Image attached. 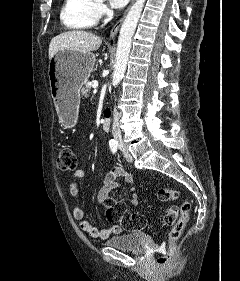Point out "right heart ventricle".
<instances>
[{
  "instance_id": "obj_1",
  "label": "right heart ventricle",
  "mask_w": 240,
  "mask_h": 281,
  "mask_svg": "<svg viewBox=\"0 0 240 281\" xmlns=\"http://www.w3.org/2000/svg\"><path fill=\"white\" fill-rule=\"evenodd\" d=\"M96 0H64L60 10L62 25L71 31L92 28L98 19Z\"/></svg>"
}]
</instances>
